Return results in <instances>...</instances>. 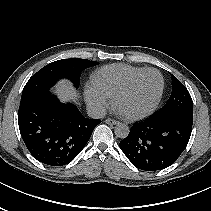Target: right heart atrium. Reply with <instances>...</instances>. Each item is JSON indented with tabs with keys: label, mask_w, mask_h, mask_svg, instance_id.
Returning <instances> with one entry per match:
<instances>
[{
	"label": "right heart atrium",
	"mask_w": 211,
	"mask_h": 211,
	"mask_svg": "<svg viewBox=\"0 0 211 211\" xmlns=\"http://www.w3.org/2000/svg\"><path fill=\"white\" fill-rule=\"evenodd\" d=\"M85 94L87 102L97 112L104 111L111 100L110 95L93 83L87 86Z\"/></svg>",
	"instance_id": "obj_1"
}]
</instances>
